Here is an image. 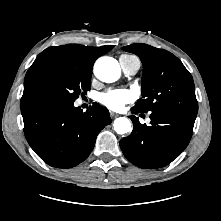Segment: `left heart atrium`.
I'll use <instances>...</instances> for the list:
<instances>
[{
	"mask_svg": "<svg viewBox=\"0 0 221 221\" xmlns=\"http://www.w3.org/2000/svg\"><path fill=\"white\" fill-rule=\"evenodd\" d=\"M135 97L134 91L130 89H111L99 96V102L110 110L121 111Z\"/></svg>",
	"mask_w": 221,
	"mask_h": 221,
	"instance_id": "1",
	"label": "left heart atrium"
}]
</instances>
